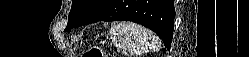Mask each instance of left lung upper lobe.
I'll return each instance as SVG.
<instances>
[{
    "label": "left lung upper lobe",
    "instance_id": "obj_1",
    "mask_svg": "<svg viewBox=\"0 0 249 57\" xmlns=\"http://www.w3.org/2000/svg\"><path fill=\"white\" fill-rule=\"evenodd\" d=\"M109 0H73L66 31L97 14Z\"/></svg>",
    "mask_w": 249,
    "mask_h": 57
}]
</instances>
